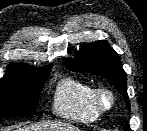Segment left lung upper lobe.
<instances>
[{"label": "left lung upper lobe", "mask_w": 147, "mask_h": 131, "mask_svg": "<svg viewBox=\"0 0 147 131\" xmlns=\"http://www.w3.org/2000/svg\"><path fill=\"white\" fill-rule=\"evenodd\" d=\"M63 63L71 71L94 73L106 78L124 96L127 107L130 108L126 72L118 54L106 41L84 45L74 59H65Z\"/></svg>", "instance_id": "1"}]
</instances>
